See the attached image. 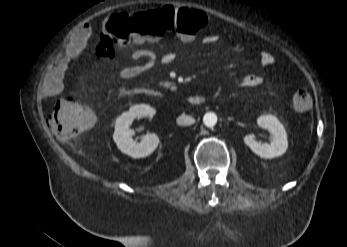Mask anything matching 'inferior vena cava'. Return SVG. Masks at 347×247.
<instances>
[{"instance_id":"inferior-vena-cava-1","label":"inferior vena cava","mask_w":347,"mask_h":247,"mask_svg":"<svg viewBox=\"0 0 347 247\" xmlns=\"http://www.w3.org/2000/svg\"><path fill=\"white\" fill-rule=\"evenodd\" d=\"M176 122L178 125L187 126V125H191V124L195 123V120L191 116H187L185 114H182L181 116H179L177 118Z\"/></svg>"}]
</instances>
